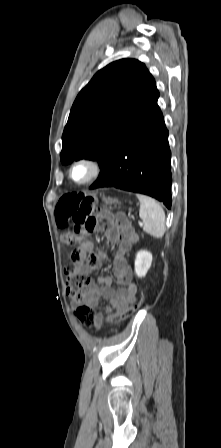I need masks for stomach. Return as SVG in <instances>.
I'll use <instances>...</instances> for the list:
<instances>
[{
    "instance_id": "1",
    "label": "stomach",
    "mask_w": 221,
    "mask_h": 448,
    "mask_svg": "<svg viewBox=\"0 0 221 448\" xmlns=\"http://www.w3.org/2000/svg\"><path fill=\"white\" fill-rule=\"evenodd\" d=\"M105 202L111 204V203L114 202V200L111 199V198H106V199H105Z\"/></svg>"
}]
</instances>
